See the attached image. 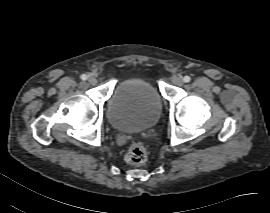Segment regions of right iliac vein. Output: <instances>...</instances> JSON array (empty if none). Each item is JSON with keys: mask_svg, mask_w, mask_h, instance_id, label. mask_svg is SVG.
Here are the masks:
<instances>
[{"mask_svg": "<svg viewBox=\"0 0 270 213\" xmlns=\"http://www.w3.org/2000/svg\"><path fill=\"white\" fill-rule=\"evenodd\" d=\"M88 82L91 84V85H95L97 83V79L95 76H90L88 78Z\"/></svg>", "mask_w": 270, "mask_h": 213, "instance_id": "1", "label": "right iliac vein"}]
</instances>
